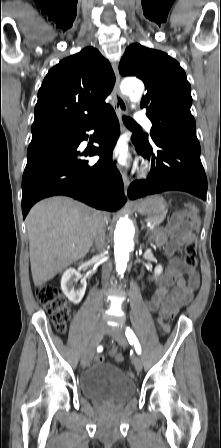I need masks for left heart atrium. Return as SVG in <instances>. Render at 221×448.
I'll return each mask as SVG.
<instances>
[{
  "label": "left heart atrium",
  "mask_w": 221,
  "mask_h": 448,
  "mask_svg": "<svg viewBox=\"0 0 221 448\" xmlns=\"http://www.w3.org/2000/svg\"><path fill=\"white\" fill-rule=\"evenodd\" d=\"M112 156L121 166H127L130 160L129 154L124 144L120 143L112 150Z\"/></svg>",
  "instance_id": "39dd6f15"
}]
</instances>
